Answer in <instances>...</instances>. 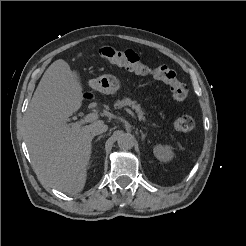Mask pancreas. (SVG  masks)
<instances>
[{"instance_id": "1", "label": "pancreas", "mask_w": 246, "mask_h": 246, "mask_svg": "<svg viewBox=\"0 0 246 246\" xmlns=\"http://www.w3.org/2000/svg\"><path fill=\"white\" fill-rule=\"evenodd\" d=\"M124 106H130L133 109H135L138 114V117L142 116L141 118L139 117V119L145 121V117L143 116L144 111L141 109L140 105L136 101L130 100L129 98H125L121 101L120 100L116 101L114 104V107L118 109Z\"/></svg>"}]
</instances>
